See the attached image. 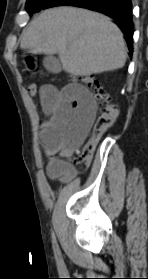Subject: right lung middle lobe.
Wrapping results in <instances>:
<instances>
[{
  "label": "right lung middle lobe",
  "instance_id": "obj_1",
  "mask_svg": "<svg viewBox=\"0 0 148 279\" xmlns=\"http://www.w3.org/2000/svg\"><path fill=\"white\" fill-rule=\"evenodd\" d=\"M48 0H27L26 10L29 14L40 11Z\"/></svg>",
  "mask_w": 148,
  "mask_h": 279
}]
</instances>
